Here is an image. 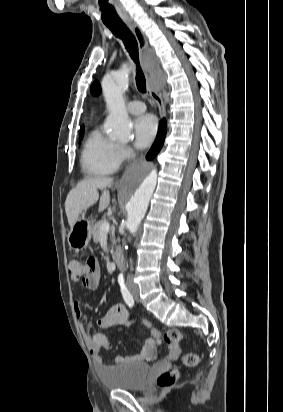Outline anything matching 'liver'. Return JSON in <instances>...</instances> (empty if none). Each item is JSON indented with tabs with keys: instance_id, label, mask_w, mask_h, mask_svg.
<instances>
[{
	"instance_id": "6515ba94",
	"label": "liver",
	"mask_w": 283,
	"mask_h": 412,
	"mask_svg": "<svg viewBox=\"0 0 283 412\" xmlns=\"http://www.w3.org/2000/svg\"><path fill=\"white\" fill-rule=\"evenodd\" d=\"M112 181L113 179L108 177L84 179L68 193L65 201V212L70 228L78 220L82 211L93 206L98 201L99 189L104 191L100 199L99 211L102 212L108 207L110 196L106 187Z\"/></svg>"
}]
</instances>
